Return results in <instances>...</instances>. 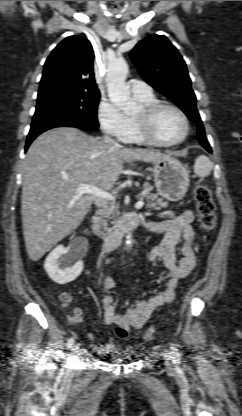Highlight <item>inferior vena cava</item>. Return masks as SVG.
Segmentation results:
<instances>
[{"label": "inferior vena cava", "mask_w": 242, "mask_h": 416, "mask_svg": "<svg viewBox=\"0 0 242 416\" xmlns=\"http://www.w3.org/2000/svg\"><path fill=\"white\" fill-rule=\"evenodd\" d=\"M103 141L106 143V144H109V145H113V146H118V144L110 137V136H108V135H105L104 137H103Z\"/></svg>", "instance_id": "602c4592"}]
</instances>
